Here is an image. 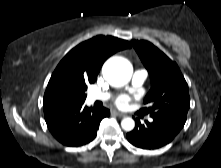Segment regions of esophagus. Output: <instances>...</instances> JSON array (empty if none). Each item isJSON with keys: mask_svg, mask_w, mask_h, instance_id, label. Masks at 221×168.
Returning a JSON list of instances; mask_svg holds the SVG:
<instances>
[{"mask_svg": "<svg viewBox=\"0 0 221 168\" xmlns=\"http://www.w3.org/2000/svg\"><path fill=\"white\" fill-rule=\"evenodd\" d=\"M112 114L117 116V117H125L124 113L118 112V111H112Z\"/></svg>", "mask_w": 221, "mask_h": 168, "instance_id": "esophagus-1", "label": "esophagus"}]
</instances>
